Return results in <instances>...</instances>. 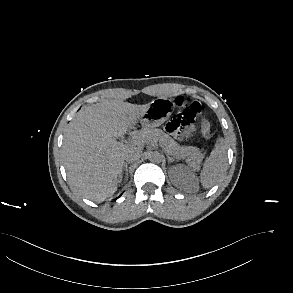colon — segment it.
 I'll use <instances>...</instances> for the list:
<instances>
[{"instance_id":"5ec220e1","label":"colon","mask_w":293,"mask_h":293,"mask_svg":"<svg viewBox=\"0 0 293 293\" xmlns=\"http://www.w3.org/2000/svg\"><path fill=\"white\" fill-rule=\"evenodd\" d=\"M175 104L180 112L166 124V131L170 134L181 136L189 125L201 114L202 106L198 101L188 102L184 97L175 99ZM201 131L204 138L214 141L216 134L211 130L210 123L205 118L201 119Z\"/></svg>"}]
</instances>
